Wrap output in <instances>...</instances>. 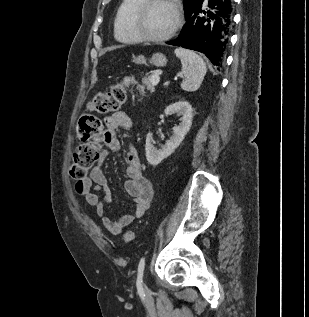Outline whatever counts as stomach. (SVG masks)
I'll return each mask as SVG.
<instances>
[{"label": "stomach", "instance_id": "1", "mask_svg": "<svg viewBox=\"0 0 309 317\" xmlns=\"http://www.w3.org/2000/svg\"><path fill=\"white\" fill-rule=\"evenodd\" d=\"M146 61L147 59L144 55H138L137 57L133 58V62L137 64H145ZM149 61L150 63L158 67L163 66L167 63V59L162 53H154Z\"/></svg>", "mask_w": 309, "mask_h": 317}]
</instances>
